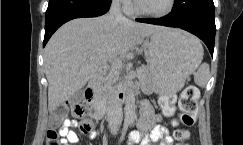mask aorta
<instances>
[{
  "label": "aorta",
  "mask_w": 243,
  "mask_h": 145,
  "mask_svg": "<svg viewBox=\"0 0 243 145\" xmlns=\"http://www.w3.org/2000/svg\"><path fill=\"white\" fill-rule=\"evenodd\" d=\"M136 117L135 95L132 90H129L125 99V119L133 121Z\"/></svg>",
  "instance_id": "1"
}]
</instances>
